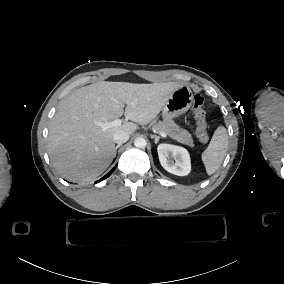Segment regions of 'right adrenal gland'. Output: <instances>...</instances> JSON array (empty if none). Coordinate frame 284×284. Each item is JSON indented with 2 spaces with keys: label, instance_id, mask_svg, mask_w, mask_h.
Returning <instances> with one entry per match:
<instances>
[{
  "label": "right adrenal gland",
  "instance_id": "2a0ac1e0",
  "mask_svg": "<svg viewBox=\"0 0 284 284\" xmlns=\"http://www.w3.org/2000/svg\"><path fill=\"white\" fill-rule=\"evenodd\" d=\"M121 146H122V144H118V145L116 146L115 151H114V157H115L116 154H117L118 148H120Z\"/></svg>",
  "mask_w": 284,
  "mask_h": 284
}]
</instances>
